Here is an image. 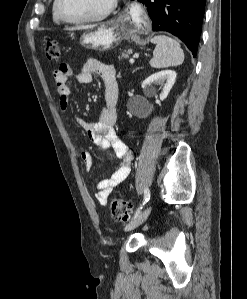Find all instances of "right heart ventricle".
<instances>
[{"mask_svg":"<svg viewBox=\"0 0 247 299\" xmlns=\"http://www.w3.org/2000/svg\"><path fill=\"white\" fill-rule=\"evenodd\" d=\"M52 19L57 24L61 22V20L57 17V15H56V13L54 11V5H53V10H52Z\"/></svg>","mask_w":247,"mask_h":299,"instance_id":"e07e8e85","label":"right heart ventricle"}]
</instances>
